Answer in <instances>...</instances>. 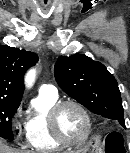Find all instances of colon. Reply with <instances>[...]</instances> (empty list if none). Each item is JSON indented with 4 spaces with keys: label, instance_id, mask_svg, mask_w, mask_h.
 <instances>
[{
    "label": "colon",
    "instance_id": "colon-1",
    "mask_svg": "<svg viewBox=\"0 0 130 153\" xmlns=\"http://www.w3.org/2000/svg\"><path fill=\"white\" fill-rule=\"evenodd\" d=\"M105 150L107 153H124L123 138L117 133H110L105 139Z\"/></svg>",
    "mask_w": 130,
    "mask_h": 153
}]
</instances>
